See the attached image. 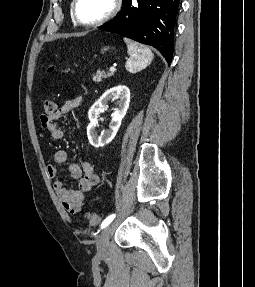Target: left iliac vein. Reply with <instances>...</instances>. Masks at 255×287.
Listing matches in <instances>:
<instances>
[{"mask_svg":"<svg viewBox=\"0 0 255 287\" xmlns=\"http://www.w3.org/2000/svg\"><path fill=\"white\" fill-rule=\"evenodd\" d=\"M111 226H106L97 240V250L100 256H106L109 249V238H110Z\"/></svg>","mask_w":255,"mask_h":287,"instance_id":"left-iliac-vein-1","label":"left iliac vein"}]
</instances>
